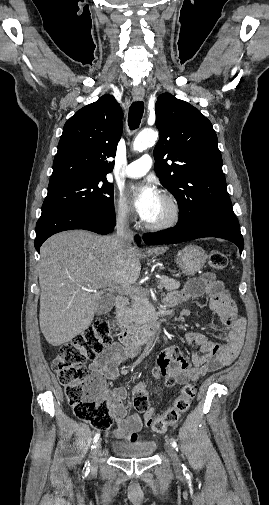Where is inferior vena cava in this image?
<instances>
[{
    "label": "inferior vena cava",
    "mask_w": 269,
    "mask_h": 505,
    "mask_svg": "<svg viewBox=\"0 0 269 505\" xmlns=\"http://www.w3.org/2000/svg\"><path fill=\"white\" fill-rule=\"evenodd\" d=\"M117 235L116 237L122 244L130 245L133 241V232L129 228V222L126 215H119L117 218Z\"/></svg>",
    "instance_id": "1"
}]
</instances>
